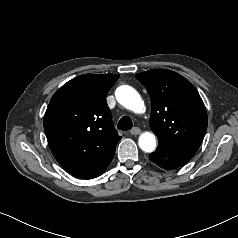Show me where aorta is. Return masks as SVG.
I'll return each mask as SVG.
<instances>
[{
  "label": "aorta",
  "mask_w": 238,
  "mask_h": 238,
  "mask_svg": "<svg viewBox=\"0 0 238 238\" xmlns=\"http://www.w3.org/2000/svg\"><path fill=\"white\" fill-rule=\"evenodd\" d=\"M117 101L126 109L140 113L143 111L144 102L139 93L128 85L119 86L115 91ZM139 147L144 152H153L156 148V137L151 132H144L138 140Z\"/></svg>",
  "instance_id": "762f6f07"
}]
</instances>
